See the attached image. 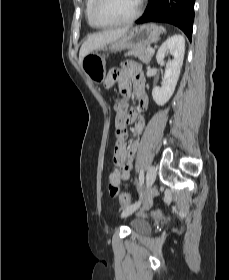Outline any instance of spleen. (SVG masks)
<instances>
[{
  "label": "spleen",
  "instance_id": "1",
  "mask_svg": "<svg viewBox=\"0 0 229 280\" xmlns=\"http://www.w3.org/2000/svg\"><path fill=\"white\" fill-rule=\"evenodd\" d=\"M162 29L163 32H165V28L164 27H160Z\"/></svg>",
  "mask_w": 229,
  "mask_h": 280
}]
</instances>
